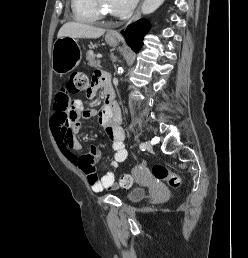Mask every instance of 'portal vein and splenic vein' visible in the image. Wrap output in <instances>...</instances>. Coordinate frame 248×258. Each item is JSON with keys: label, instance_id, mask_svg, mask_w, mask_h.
<instances>
[{"label": "portal vein and splenic vein", "instance_id": "portal-vein-and-splenic-vein-1", "mask_svg": "<svg viewBox=\"0 0 248 258\" xmlns=\"http://www.w3.org/2000/svg\"><path fill=\"white\" fill-rule=\"evenodd\" d=\"M102 57V55H97V58L100 59Z\"/></svg>", "mask_w": 248, "mask_h": 258}]
</instances>
